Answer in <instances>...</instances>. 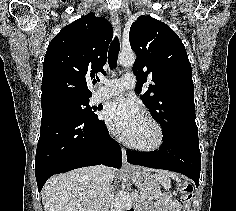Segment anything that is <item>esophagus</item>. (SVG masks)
Instances as JSON below:
<instances>
[{"mask_svg":"<svg viewBox=\"0 0 236 211\" xmlns=\"http://www.w3.org/2000/svg\"><path fill=\"white\" fill-rule=\"evenodd\" d=\"M110 15H111L112 23L115 26L118 37L120 39L121 38V25H120V19H119L118 13L115 11H112ZM122 166L124 168H127L130 166L129 163L127 162L126 150L124 148H122Z\"/></svg>","mask_w":236,"mask_h":211,"instance_id":"34e87169","label":"esophagus"}]
</instances>
